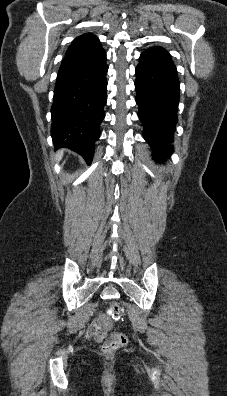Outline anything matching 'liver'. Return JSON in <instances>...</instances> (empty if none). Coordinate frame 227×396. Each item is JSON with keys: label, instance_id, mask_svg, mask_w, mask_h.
I'll list each match as a JSON object with an SVG mask.
<instances>
[{"label": "liver", "instance_id": "liver-1", "mask_svg": "<svg viewBox=\"0 0 227 396\" xmlns=\"http://www.w3.org/2000/svg\"><path fill=\"white\" fill-rule=\"evenodd\" d=\"M62 156H63L62 151H59V152L57 153V159L60 160V159L62 158Z\"/></svg>", "mask_w": 227, "mask_h": 396}]
</instances>
